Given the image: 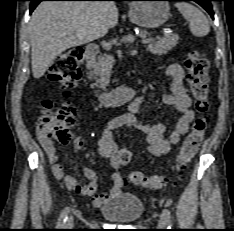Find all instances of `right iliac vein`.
Instances as JSON below:
<instances>
[{
    "instance_id": "right-iliac-vein-1",
    "label": "right iliac vein",
    "mask_w": 234,
    "mask_h": 231,
    "mask_svg": "<svg viewBox=\"0 0 234 231\" xmlns=\"http://www.w3.org/2000/svg\"><path fill=\"white\" fill-rule=\"evenodd\" d=\"M66 227L71 228L73 227V218L70 217L69 220L67 221Z\"/></svg>"
}]
</instances>
